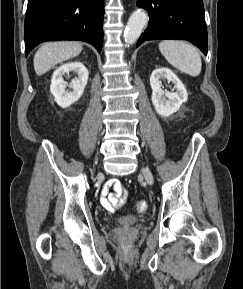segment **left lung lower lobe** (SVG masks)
Masks as SVG:
<instances>
[{"label": "left lung lower lobe", "instance_id": "left-lung-lower-lobe-1", "mask_svg": "<svg viewBox=\"0 0 243 289\" xmlns=\"http://www.w3.org/2000/svg\"><path fill=\"white\" fill-rule=\"evenodd\" d=\"M148 11L150 21L137 42L183 39L195 44L205 55L208 50L207 29L202 0H138Z\"/></svg>", "mask_w": 243, "mask_h": 289}]
</instances>
